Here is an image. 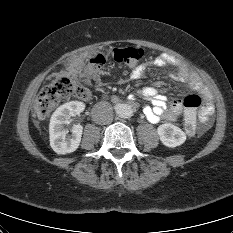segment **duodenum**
I'll use <instances>...</instances> for the list:
<instances>
[{"label":"duodenum","instance_id":"obj_1","mask_svg":"<svg viewBox=\"0 0 233 233\" xmlns=\"http://www.w3.org/2000/svg\"><path fill=\"white\" fill-rule=\"evenodd\" d=\"M110 100L112 101V103H118V99L116 97H111Z\"/></svg>","mask_w":233,"mask_h":233}]
</instances>
